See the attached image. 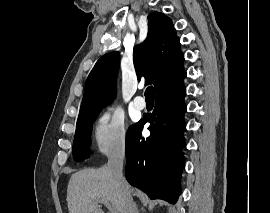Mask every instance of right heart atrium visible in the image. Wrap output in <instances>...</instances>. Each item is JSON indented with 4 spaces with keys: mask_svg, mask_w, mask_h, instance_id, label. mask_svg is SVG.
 Wrapping results in <instances>:
<instances>
[{
    "mask_svg": "<svg viewBox=\"0 0 270 213\" xmlns=\"http://www.w3.org/2000/svg\"><path fill=\"white\" fill-rule=\"evenodd\" d=\"M91 136L99 154L109 156L123 153L127 148V136L122 113L114 107L103 109L95 120Z\"/></svg>",
    "mask_w": 270,
    "mask_h": 213,
    "instance_id": "d8ad5b80",
    "label": "right heart atrium"
}]
</instances>
